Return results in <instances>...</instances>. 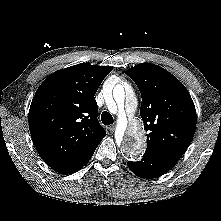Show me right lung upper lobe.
Wrapping results in <instances>:
<instances>
[{
  "label": "right lung upper lobe",
  "instance_id": "cb5924a9",
  "mask_svg": "<svg viewBox=\"0 0 221 221\" xmlns=\"http://www.w3.org/2000/svg\"><path fill=\"white\" fill-rule=\"evenodd\" d=\"M111 66L81 63L51 74L37 89L29 110L30 134L40 156L53 167L106 135L95 93Z\"/></svg>",
  "mask_w": 221,
  "mask_h": 221
}]
</instances>
